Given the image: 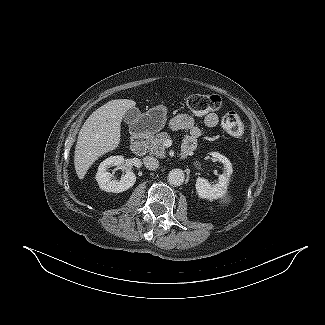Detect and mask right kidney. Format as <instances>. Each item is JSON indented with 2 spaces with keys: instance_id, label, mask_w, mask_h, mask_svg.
Instances as JSON below:
<instances>
[{
  "instance_id": "obj_1",
  "label": "right kidney",
  "mask_w": 325,
  "mask_h": 325,
  "mask_svg": "<svg viewBox=\"0 0 325 325\" xmlns=\"http://www.w3.org/2000/svg\"><path fill=\"white\" fill-rule=\"evenodd\" d=\"M123 164V156H111L100 163L95 178L102 190L120 193L128 190L134 185L136 176L130 169H126L125 175L121 177L120 181L111 180V173L107 170L112 166H122Z\"/></svg>"
}]
</instances>
